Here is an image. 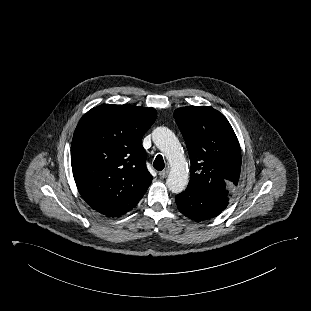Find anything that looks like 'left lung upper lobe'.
I'll return each instance as SVG.
<instances>
[{
  "instance_id": "left-lung-upper-lobe-1",
  "label": "left lung upper lobe",
  "mask_w": 311,
  "mask_h": 311,
  "mask_svg": "<svg viewBox=\"0 0 311 311\" xmlns=\"http://www.w3.org/2000/svg\"><path fill=\"white\" fill-rule=\"evenodd\" d=\"M174 118L190 157L188 186L229 200L239 181L241 150L228 120L207 106L178 108Z\"/></svg>"
}]
</instances>
